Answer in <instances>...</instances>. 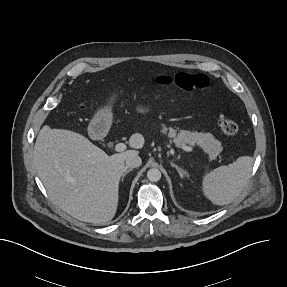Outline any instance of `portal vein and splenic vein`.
Returning <instances> with one entry per match:
<instances>
[{"label": "portal vein and splenic vein", "instance_id": "1", "mask_svg": "<svg viewBox=\"0 0 287 287\" xmlns=\"http://www.w3.org/2000/svg\"><path fill=\"white\" fill-rule=\"evenodd\" d=\"M180 148H182L183 150L187 151V152H191L193 149L190 146H187L186 144H181ZM126 149V145L124 143H118L115 145V151L117 152H122Z\"/></svg>", "mask_w": 287, "mask_h": 287}]
</instances>
